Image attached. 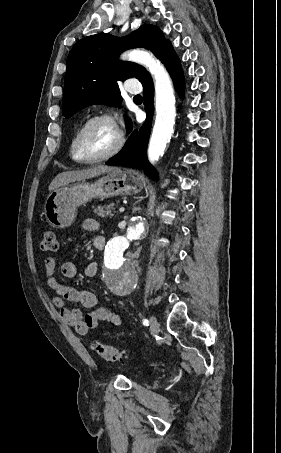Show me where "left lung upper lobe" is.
Instances as JSON below:
<instances>
[{
	"label": "left lung upper lobe",
	"instance_id": "obj_1",
	"mask_svg": "<svg viewBox=\"0 0 281 453\" xmlns=\"http://www.w3.org/2000/svg\"><path fill=\"white\" fill-rule=\"evenodd\" d=\"M168 42L159 28L148 24L123 38L95 34L79 40L67 59L62 115L69 118L92 104L119 106L122 98L117 82L131 77L142 82L149 73L138 64L119 62L117 56L124 50L144 47L160 58ZM126 125L130 132L128 117Z\"/></svg>",
	"mask_w": 281,
	"mask_h": 453
}]
</instances>
